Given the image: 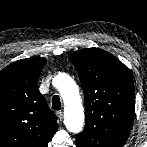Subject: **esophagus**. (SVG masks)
I'll return each mask as SVG.
<instances>
[{
	"label": "esophagus",
	"instance_id": "esophagus-1",
	"mask_svg": "<svg viewBox=\"0 0 147 147\" xmlns=\"http://www.w3.org/2000/svg\"><path fill=\"white\" fill-rule=\"evenodd\" d=\"M56 114H57V117L59 118V120L62 121L63 120V112L58 111Z\"/></svg>",
	"mask_w": 147,
	"mask_h": 147
}]
</instances>
